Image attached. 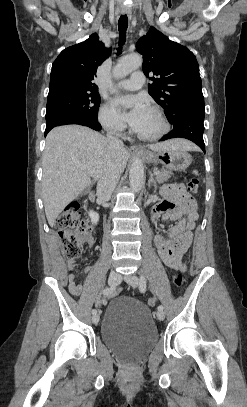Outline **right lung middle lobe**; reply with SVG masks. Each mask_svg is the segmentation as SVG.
<instances>
[{
	"label": "right lung middle lobe",
	"mask_w": 247,
	"mask_h": 407,
	"mask_svg": "<svg viewBox=\"0 0 247 407\" xmlns=\"http://www.w3.org/2000/svg\"><path fill=\"white\" fill-rule=\"evenodd\" d=\"M101 99L96 90L61 89L47 98L46 121L61 115H78L98 120Z\"/></svg>",
	"instance_id": "dd1d6c3e"
}]
</instances>
